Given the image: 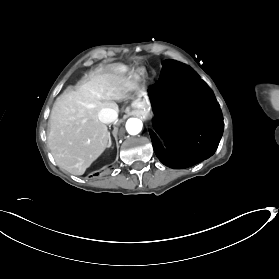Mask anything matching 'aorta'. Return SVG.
<instances>
[{"label": "aorta", "instance_id": "aorta-1", "mask_svg": "<svg viewBox=\"0 0 279 279\" xmlns=\"http://www.w3.org/2000/svg\"><path fill=\"white\" fill-rule=\"evenodd\" d=\"M143 127L142 121L138 118H130L126 122V130L130 135H137Z\"/></svg>", "mask_w": 279, "mask_h": 279}]
</instances>
